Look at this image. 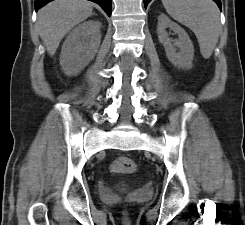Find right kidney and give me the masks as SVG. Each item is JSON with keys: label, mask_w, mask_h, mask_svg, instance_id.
Listing matches in <instances>:
<instances>
[{"label": "right kidney", "mask_w": 245, "mask_h": 225, "mask_svg": "<svg viewBox=\"0 0 245 225\" xmlns=\"http://www.w3.org/2000/svg\"><path fill=\"white\" fill-rule=\"evenodd\" d=\"M100 27L99 21L91 20L68 35L60 55V65L66 75H77L94 58L101 43Z\"/></svg>", "instance_id": "ca27d5eb"}]
</instances>
